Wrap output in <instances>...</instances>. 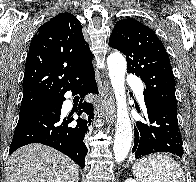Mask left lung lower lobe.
Returning a JSON list of instances; mask_svg holds the SVG:
<instances>
[{"label":"left lung lower lobe","instance_id":"1","mask_svg":"<svg viewBox=\"0 0 196 182\" xmlns=\"http://www.w3.org/2000/svg\"><path fill=\"white\" fill-rule=\"evenodd\" d=\"M144 100L147 111L143 115L146 122L139 121L134 127L132 153L135 158L158 152H168L181 158L183 142L177 113L145 91Z\"/></svg>","mask_w":196,"mask_h":182}]
</instances>
